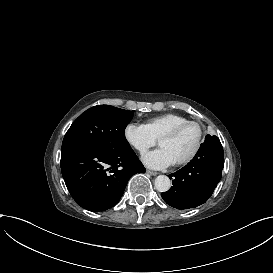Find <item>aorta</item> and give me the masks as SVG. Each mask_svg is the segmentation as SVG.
<instances>
[{
    "label": "aorta",
    "mask_w": 273,
    "mask_h": 273,
    "mask_svg": "<svg viewBox=\"0 0 273 273\" xmlns=\"http://www.w3.org/2000/svg\"><path fill=\"white\" fill-rule=\"evenodd\" d=\"M155 189L159 192H167L171 187V181L166 175H159L155 179Z\"/></svg>",
    "instance_id": "obj_1"
}]
</instances>
